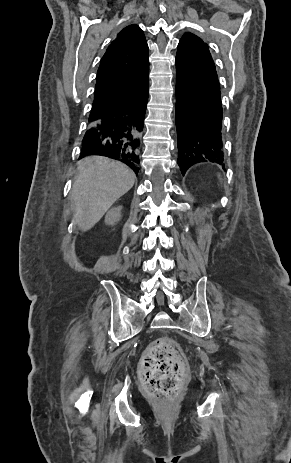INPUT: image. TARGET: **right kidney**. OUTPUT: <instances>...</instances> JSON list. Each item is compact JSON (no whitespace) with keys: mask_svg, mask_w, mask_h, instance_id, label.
Here are the masks:
<instances>
[{"mask_svg":"<svg viewBox=\"0 0 291 463\" xmlns=\"http://www.w3.org/2000/svg\"><path fill=\"white\" fill-rule=\"evenodd\" d=\"M121 209L122 207L119 206L117 208H112L109 210L105 216V224L106 225H115L121 219Z\"/></svg>","mask_w":291,"mask_h":463,"instance_id":"obj_1","label":"right kidney"}]
</instances>
